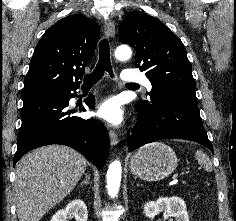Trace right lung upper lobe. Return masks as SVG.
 I'll use <instances>...</instances> for the list:
<instances>
[{
	"instance_id": "1",
	"label": "right lung upper lobe",
	"mask_w": 236,
	"mask_h": 221,
	"mask_svg": "<svg viewBox=\"0 0 236 221\" xmlns=\"http://www.w3.org/2000/svg\"><path fill=\"white\" fill-rule=\"evenodd\" d=\"M98 36V25L80 14L51 26L36 45L22 94L79 86Z\"/></svg>"
}]
</instances>
